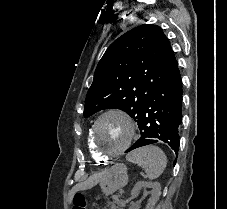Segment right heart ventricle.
<instances>
[{
  "instance_id": "obj_1",
  "label": "right heart ventricle",
  "mask_w": 227,
  "mask_h": 209,
  "mask_svg": "<svg viewBox=\"0 0 227 209\" xmlns=\"http://www.w3.org/2000/svg\"><path fill=\"white\" fill-rule=\"evenodd\" d=\"M91 127L88 129V132H87V147H88V150L93 158V160L95 162H101V161H105V159H102L99 157V155L97 154L92 142H91Z\"/></svg>"
}]
</instances>
